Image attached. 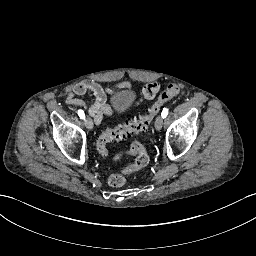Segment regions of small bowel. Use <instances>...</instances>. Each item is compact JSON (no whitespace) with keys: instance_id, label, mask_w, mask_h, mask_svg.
Instances as JSON below:
<instances>
[{"instance_id":"c3829d8e","label":"small bowel","mask_w":256,"mask_h":256,"mask_svg":"<svg viewBox=\"0 0 256 256\" xmlns=\"http://www.w3.org/2000/svg\"><path fill=\"white\" fill-rule=\"evenodd\" d=\"M131 86L128 82H120L112 87H104L101 84L85 80L74 85L68 95L65 103L68 106H75L78 108H85L86 103L80 97L85 94H92L95 101L88 107L89 114L94 118L96 124H100L104 117H109L114 114V108L107 103L109 95L121 90H130ZM160 91V84L157 82H150L142 89V96L147 100L153 99Z\"/></svg>"}]
</instances>
